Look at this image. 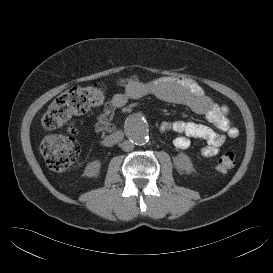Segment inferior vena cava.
<instances>
[{
	"instance_id": "inferior-vena-cava-1",
	"label": "inferior vena cava",
	"mask_w": 273,
	"mask_h": 273,
	"mask_svg": "<svg viewBox=\"0 0 273 273\" xmlns=\"http://www.w3.org/2000/svg\"><path fill=\"white\" fill-rule=\"evenodd\" d=\"M121 148L123 151H126V152L132 151L134 149V143L129 140H124L121 143Z\"/></svg>"
}]
</instances>
